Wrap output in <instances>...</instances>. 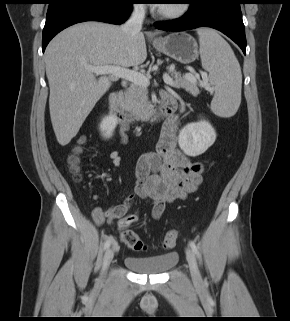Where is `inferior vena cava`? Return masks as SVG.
<instances>
[{
	"instance_id": "inferior-vena-cava-1",
	"label": "inferior vena cava",
	"mask_w": 290,
	"mask_h": 321,
	"mask_svg": "<svg viewBox=\"0 0 290 321\" xmlns=\"http://www.w3.org/2000/svg\"><path fill=\"white\" fill-rule=\"evenodd\" d=\"M145 17V7L142 4H136L133 7L130 18L122 25L121 29L127 35H133L140 32Z\"/></svg>"
}]
</instances>
